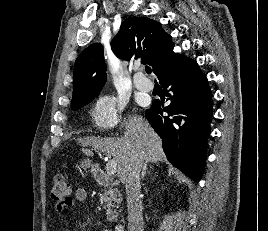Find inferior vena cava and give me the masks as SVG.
<instances>
[{"label":"inferior vena cava","instance_id":"1","mask_svg":"<svg viewBox=\"0 0 268 231\" xmlns=\"http://www.w3.org/2000/svg\"><path fill=\"white\" fill-rule=\"evenodd\" d=\"M143 160L133 152L124 176L128 209V231H143L142 202L140 200V171Z\"/></svg>","mask_w":268,"mask_h":231}]
</instances>
